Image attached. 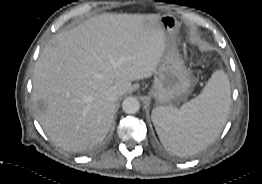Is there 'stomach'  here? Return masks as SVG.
Here are the masks:
<instances>
[{
    "label": "stomach",
    "mask_w": 262,
    "mask_h": 184,
    "mask_svg": "<svg viewBox=\"0 0 262 184\" xmlns=\"http://www.w3.org/2000/svg\"><path fill=\"white\" fill-rule=\"evenodd\" d=\"M160 24L169 43L154 72L151 93L157 105H168L185 100L192 91L194 82L175 43L180 23L174 16L164 15L160 17Z\"/></svg>",
    "instance_id": "0dacf381"
}]
</instances>
